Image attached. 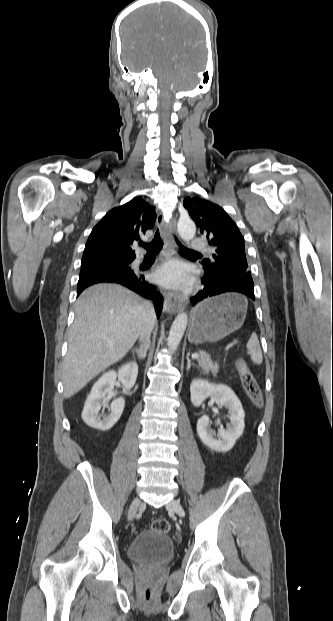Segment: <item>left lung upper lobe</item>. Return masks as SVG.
Masks as SVG:
<instances>
[{"label": "left lung upper lobe", "mask_w": 333, "mask_h": 621, "mask_svg": "<svg viewBox=\"0 0 333 621\" xmlns=\"http://www.w3.org/2000/svg\"><path fill=\"white\" fill-rule=\"evenodd\" d=\"M183 205L199 227L207 235L214 253L202 261L204 270L220 276L223 274H249L245 255L244 238L235 222L220 206L199 198L186 197Z\"/></svg>", "instance_id": "left-lung-upper-lobe-1"}]
</instances>
